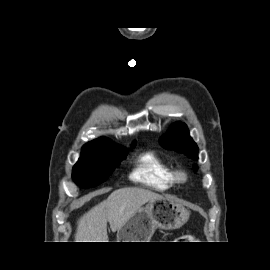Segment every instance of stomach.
Returning <instances> with one entry per match:
<instances>
[{"label":"stomach","mask_w":270,"mask_h":270,"mask_svg":"<svg viewBox=\"0 0 270 270\" xmlns=\"http://www.w3.org/2000/svg\"><path fill=\"white\" fill-rule=\"evenodd\" d=\"M189 215L188 209L170 197L149 201L117 230V240L118 242H149L157 228L178 229L188 221Z\"/></svg>","instance_id":"obj_1"}]
</instances>
